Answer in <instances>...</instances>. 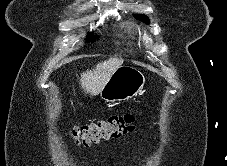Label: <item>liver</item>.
<instances>
[{"label": "liver", "mask_w": 227, "mask_h": 166, "mask_svg": "<svg viewBox=\"0 0 227 166\" xmlns=\"http://www.w3.org/2000/svg\"><path fill=\"white\" fill-rule=\"evenodd\" d=\"M123 63V59L109 58L96 65L93 70H87L81 74L80 85L86 94L91 96L98 95L111 75Z\"/></svg>", "instance_id": "1"}]
</instances>
